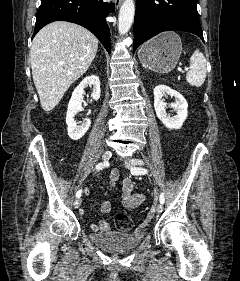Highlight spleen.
Returning <instances> with one entry per match:
<instances>
[{
    "label": "spleen",
    "instance_id": "obj_1",
    "mask_svg": "<svg viewBox=\"0 0 240 281\" xmlns=\"http://www.w3.org/2000/svg\"><path fill=\"white\" fill-rule=\"evenodd\" d=\"M206 74L205 56L196 49L190 58V70L186 75V81L191 86L200 87L205 82Z\"/></svg>",
    "mask_w": 240,
    "mask_h": 281
}]
</instances>
